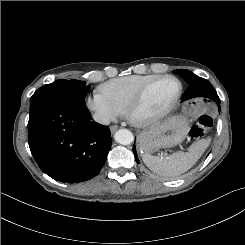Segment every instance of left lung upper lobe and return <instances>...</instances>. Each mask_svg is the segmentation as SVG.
I'll return each mask as SVG.
<instances>
[{"instance_id": "1", "label": "left lung upper lobe", "mask_w": 245, "mask_h": 245, "mask_svg": "<svg viewBox=\"0 0 245 245\" xmlns=\"http://www.w3.org/2000/svg\"><path fill=\"white\" fill-rule=\"evenodd\" d=\"M173 73L180 75L189 83V86L182 97V101L194 97H205L210 99L217 95L216 90L209 81L195 75L191 71L175 70Z\"/></svg>"}]
</instances>
